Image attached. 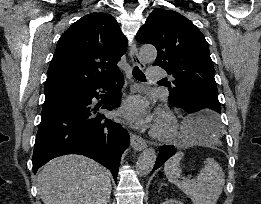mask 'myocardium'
<instances>
[{"instance_id":"1","label":"myocardium","mask_w":261,"mask_h":204,"mask_svg":"<svg viewBox=\"0 0 261 204\" xmlns=\"http://www.w3.org/2000/svg\"><path fill=\"white\" fill-rule=\"evenodd\" d=\"M178 120L175 115L166 108L157 112L156 122L151 130V135L160 141L172 139L178 132Z\"/></svg>"}]
</instances>
